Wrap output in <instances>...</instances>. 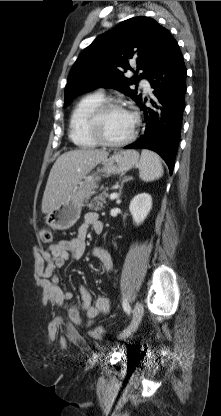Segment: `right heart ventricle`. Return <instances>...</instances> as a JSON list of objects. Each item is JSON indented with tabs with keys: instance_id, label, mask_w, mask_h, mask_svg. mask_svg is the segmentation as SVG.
<instances>
[{
	"instance_id": "right-heart-ventricle-1",
	"label": "right heart ventricle",
	"mask_w": 221,
	"mask_h": 416,
	"mask_svg": "<svg viewBox=\"0 0 221 416\" xmlns=\"http://www.w3.org/2000/svg\"><path fill=\"white\" fill-rule=\"evenodd\" d=\"M103 101L101 93L88 94L74 107L70 116L69 135L77 146L91 148L99 144L88 131V120L92 111Z\"/></svg>"
}]
</instances>
